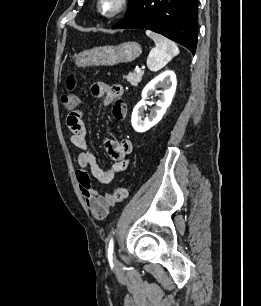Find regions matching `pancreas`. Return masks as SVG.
<instances>
[{"label":"pancreas","mask_w":261,"mask_h":306,"mask_svg":"<svg viewBox=\"0 0 261 306\" xmlns=\"http://www.w3.org/2000/svg\"><path fill=\"white\" fill-rule=\"evenodd\" d=\"M144 75V72H134V73H129L127 76H124V78L130 82L132 86H136L138 83L142 81V77Z\"/></svg>","instance_id":"1"}]
</instances>
